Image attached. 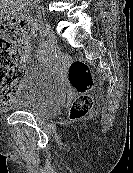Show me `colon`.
Segmentation results:
<instances>
[{"label":"colon","mask_w":133,"mask_h":173,"mask_svg":"<svg viewBox=\"0 0 133 173\" xmlns=\"http://www.w3.org/2000/svg\"><path fill=\"white\" fill-rule=\"evenodd\" d=\"M30 31L26 20H17L5 15L0 20V106L7 105L23 74L22 55L16 43ZM68 79L72 88L79 94L70 108V118L80 119L88 115L92 99L88 93L94 82L89 66L83 61H74L69 66Z\"/></svg>","instance_id":"obj_1"}]
</instances>
